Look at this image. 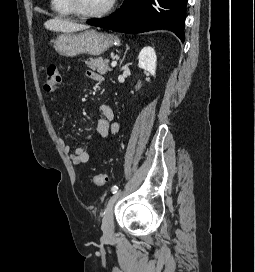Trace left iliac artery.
Returning a JSON list of instances; mask_svg holds the SVG:
<instances>
[{
	"label": "left iliac artery",
	"mask_w": 255,
	"mask_h": 272,
	"mask_svg": "<svg viewBox=\"0 0 255 272\" xmlns=\"http://www.w3.org/2000/svg\"><path fill=\"white\" fill-rule=\"evenodd\" d=\"M111 191H112V193L114 194V193H116L117 191H118V186H113L112 188H111Z\"/></svg>",
	"instance_id": "obj_1"
}]
</instances>
